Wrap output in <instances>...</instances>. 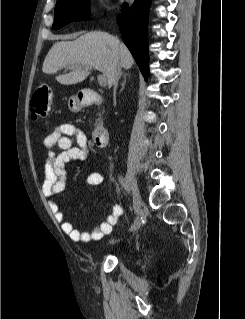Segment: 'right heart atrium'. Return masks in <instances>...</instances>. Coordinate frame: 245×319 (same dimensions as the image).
Returning <instances> with one entry per match:
<instances>
[{
  "mask_svg": "<svg viewBox=\"0 0 245 319\" xmlns=\"http://www.w3.org/2000/svg\"><path fill=\"white\" fill-rule=\"evenodd\" d=\"M108 0H95L94 2L98 5H104L107 3Z\"/></svg>",
  "mask_w": 245,
  "mask_h": 319,
  "instance_id": "d8ad5b80",
  "label": "right heart atrium"
}]
</instances>
